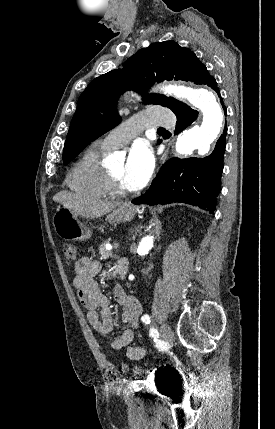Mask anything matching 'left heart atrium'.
<instances>
[{"mask_svg": "<svg viewBox=\"0 0 275 429\" xmlns=\"http://www.w3.org/2000/svg\"><path fill=\"white\" fill-rule=\"evenodd\" d=\"M153 162V153L148 143L138 141L131 147L124 174V183L129 190H138L146 184L152 172Z\"/></svg>", "mask_w": 275, "mask_h": 429, "instance_id": "1", "label": "left heart atrium"}]
</instances>
